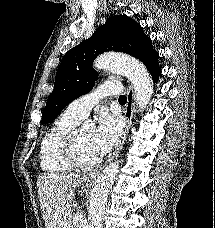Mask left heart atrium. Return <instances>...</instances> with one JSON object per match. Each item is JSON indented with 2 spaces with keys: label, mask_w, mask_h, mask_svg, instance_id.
Segmentation results:
<instances>
[{
  "label": "left heart atrium",
  "mask_w": 215,
  "mask_h": 228,
  "mask_svg": "<svg viewBox=\"0 0 215 228\" xmlns=\"http://www.w3.org/2000/svg\"><path fill=\"white\" fill-rule=\"evenodd\" d=\"M120 135L121 125L118 117L102 112L93 135V147L96 153L100 157L106 154L118 142Z\"/></svg>",
  "instance_id": "left-heart-atrium-1"
}]
</instances>
